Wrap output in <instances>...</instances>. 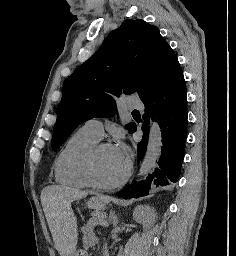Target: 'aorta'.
<instances>
[{"mask_svg":"<svg viewBox=\"0 0 236 256\" xmlns=\"http://www.w3.org/2000/svg\"><path fill=\"white\" fill-rule=\"evenodd\" d=\"M162 150V134L157 122H153L149 131V138L145 156L140 165L138 178L145 177L155 168Z\"/></svg>","mask_w":236,"mask_h":256,"instance_id":"1","label":"aorta"}]
</instances>
